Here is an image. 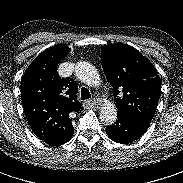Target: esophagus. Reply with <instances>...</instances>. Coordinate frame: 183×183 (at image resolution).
Here are the masks:
<instances>
[{"label":"esophagus","instance_id":"obj_1","mask_svg":"<svg viewBox=\"0 0 183 183\" xmlns=\"http://www.w3.org/2000/svg\"><path fill=\"white\" fill-rule=\"evenodd\" d=\"M84 105L87 108H98L100 106V101L97 98H93L89 101H86Z\"/></svg>","mask_w":183,"mask_h":183}]
</instances>
